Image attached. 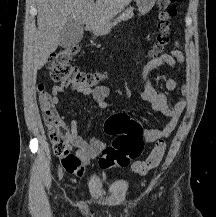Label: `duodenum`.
<instances>
[{"label": "duodenum", "mask_w": 216, "mask_h": 217, "mask_svg": "<svg viewBox=\"0 0 216 217\" xmlns=\"http://www.w3.org/2000/svg\"><path fill=\"white\" fill-rule=\"evenodd\" d=\"M92 28H93V25L90 24V25L88 26V29H92Z\"/></svg>", "instance_id": "1"}]
</instances>
